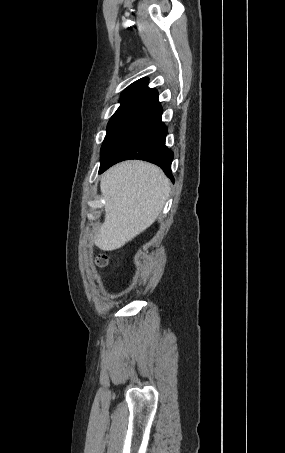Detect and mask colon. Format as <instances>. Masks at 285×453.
Listing matches in <instances>:
<instances>
[{
	"label": "colon",
	"instance_id": "5ec220e1",
	"mask_svg": "<svg viewBox=\"0 0 285 453\" xmlns=\"http://www.w3.org/2000/svg\"><path fill=\"white\" fill-rule=\"evenodd\" d=\"M109 263V257L106 254H101L97 257V264L101 267L106 266Z\"/></svg>",
	"mask_w": 285,
	"mask_h": 453
}]
</instances>
